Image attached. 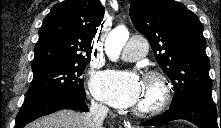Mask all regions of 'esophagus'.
Masks as SVG:
<instances>
[{"mask_svg": "<svg viewBox=\"0 0 221 128\" xmlns=\"http://www.w3.org/2000/svg\"><path fill=\"white\" fill-rule=\"evenodd\" d=\"M122 126H123L124 128H129V127H130V124L127 123V122H124Z\"/></svg>", "mask_w": 221, "mask_h": 128, "instance_id": "esophagus-1", "label": "esophagus"}]
</instances>
